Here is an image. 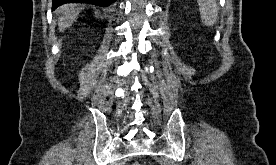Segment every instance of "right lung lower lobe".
Instances as JSON below:
<instances>
[{
  "label": "right lung lower lobe",
  "instance_id": "obj_1",
  "mask_svg": "<svg viewBox=\"0 0 276 165\" xmlns=\"http://www.w3.org/2000/svg\"><path fill=\"white\" fill-rule=\"evenodd\" d=\"M116 0H53L52 9H56L58 6L65 3H89L97 6H109Z\"/></svg>",
  "mask_w": 276,
  "mask_h": 165
}]
</instances>
